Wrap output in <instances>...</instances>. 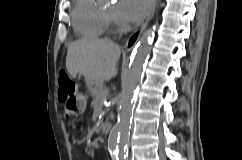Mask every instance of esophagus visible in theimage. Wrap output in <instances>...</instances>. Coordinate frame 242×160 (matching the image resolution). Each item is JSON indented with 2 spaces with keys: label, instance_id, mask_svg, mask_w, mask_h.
I'll list each match as a JSON object with an SVG mask.
<instances>
[{
  "label": "esophagus",
  "instance_id": "esophagus-1",
  "mask_svg": "<svg viewBox=\"0 0 242 160\" xmlns=\"http://www.w3.org/2000/svg\"><path fill=\"white\" fill-rule=\"evenodd\" d=\"M156 2L157 0H155V3H154V7L152 9V12L150 14V16L147 18V20L142 24V26L134 31L127 39L126 43H125V50L126 51H130L134 46L135 44L137 43V41L139 40L142 32L144 31V29L147 27L150 19L152 18L153 14H154V11H155V6H156Z\"/></svg>",
  "mask_w": 242,
  "mask_h": 160
}]
</instances>
